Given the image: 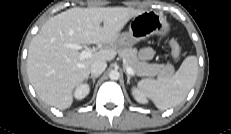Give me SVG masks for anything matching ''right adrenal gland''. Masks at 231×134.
<instances>
[{
    "mask_svg": "<svg viewBox=\"0 0 231 134\" xmlns=\"http://www.w3.org/2000/svg\"><path fill=\"white\" fill-rule=\"evenodd\" d=\"M99 76H93V75H91L90 76V78L93 80V85L95 84V80H96V78H98Z\"/></svg>",
    "mask_w": 231,
    "mask_h": 134,
    "instance_id": "1",
    "label": "right adrenal gland"
}]
</instances>
